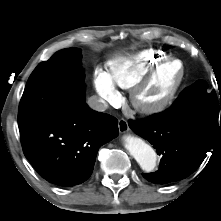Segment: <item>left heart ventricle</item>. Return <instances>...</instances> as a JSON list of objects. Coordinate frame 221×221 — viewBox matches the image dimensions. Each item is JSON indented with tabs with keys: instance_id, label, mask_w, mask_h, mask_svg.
Instances as JSON below:
<instances>
[{
	"instance_id": "1",
	"label": "left heart ventricle",
	"mask_w": 221,
	"mask_h": 221,
	"mask_svg": "<svg viewBox=\"0 0 221 221\" xmlns=\"http://www.w3.org/2000/svg\"><path fill=\"white\" fill-rule=\"evenodd\" d=\"M181 74L179 62H171L162 67L150 84L142 91L141 99L156 102L163 99L177 83Z\"/></svg>"
}]
</instances>
